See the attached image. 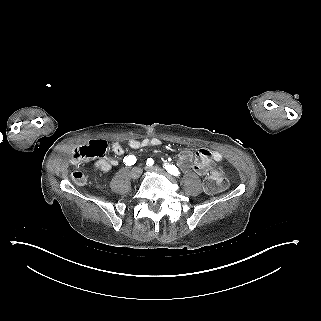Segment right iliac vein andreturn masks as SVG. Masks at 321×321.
<instances>
[{"label": "right iliac vein", "instance_id": "obj_1", "mask_svg": "<svg viewBox=\"0 0 321 321\" xmlns=\"http://www.w3.org/2000/svg\"><path fill=\"white\" fill-rule=\"evenodd\" d=\"M141 173H142V169L140 167H134L130 172V177L133 180H136L140 177Z\"/></svg>", "mask_w": 321, "mask_h": 321}]
</instances>
